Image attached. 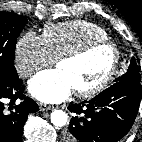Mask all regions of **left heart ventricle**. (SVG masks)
I'll return each instance as SVG.
<instances>
[{"mask_svg": "<svg viewBox=\"0 0 142 142\" xmlns=\"http://www.w3.org/2000/svg\"><path fill=\"white\" fill-rule=\"evenodd\" d=\"M112 60L111 50L102 47L81 59L61 62L57 68L68 76L74 89H83L100 81L110 68Z\"/></svg>", "mask_w": 142, "mask_h": 142, "instance_id": "1", "label": "left heart ventricle"}]
</instances>
